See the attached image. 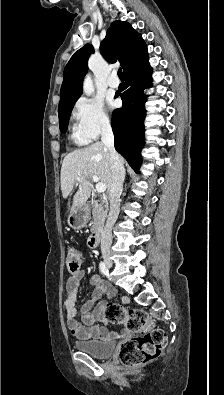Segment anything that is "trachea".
I'll use <instances>...</instances> for the list:
<instances>
[{"instance_id": "1", "label": "trachea", "mask_w": 224, "mask_h": 395, "mask_svg": "<svg viewBox=\"0 0 224 395\" xmlns=\"http://www.w3.org/2000/svg\"><path fill=\"white\" fill-rule=\"evenodd\" d=\"M118 77L120 79H123V73H122V69L121 68H119V70H118Z\"/></svg>"}]
</instances>
